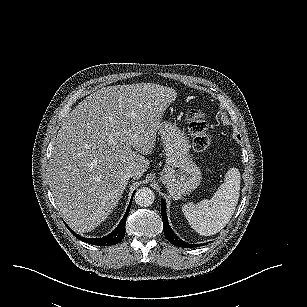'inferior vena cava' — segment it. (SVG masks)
I'll return each instance as SVG.
<instances>
[{"label": "inferior vena cava", "instance_id": "inferior-vena-cava-1", "mask_svg": "<svg viewBox=\"0 0 307 307\" xmlns=\"http://www.w3.org/2000/svg\"><path fill=\"white\" fill-rule=\"evenodd\" d=\"M131 177H132V174H131V173H128V174L125 176L126 180H129Z\"/></svg>", "mask_w": 307, "mask_h": 307}]
</instances>
